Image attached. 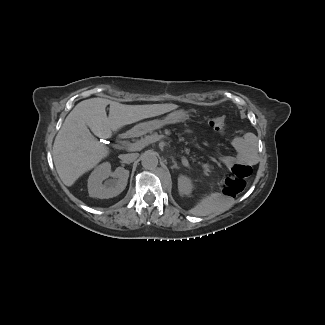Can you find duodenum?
I'll use <instances>...</instances> for the list:
<instances>
[{"label": "duodenum", "instance_id": "1", "mask_svg": "<svg viewBox=\"0 0 325 325\" xmlns=\"http://www.w3.org/2000/svg\"><path fill=\"white\" fill-rule=\"evenodd\" d=\"M126 137H122L120 140H119V145H123L126 143Z\"/></svg>", "mask_w": 325, "mask_h": 325}]
</instances>
